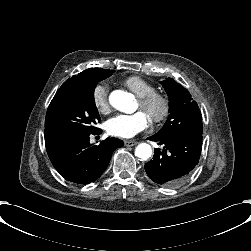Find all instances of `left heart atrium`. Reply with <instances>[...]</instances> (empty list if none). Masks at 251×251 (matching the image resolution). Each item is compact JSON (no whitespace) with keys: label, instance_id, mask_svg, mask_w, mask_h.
<instances>
[{"label":"left heart atrium","instance_id":"39dd6f15","mask_svg":"<svg viewBox=\"0 0 251 251\" xmlns=\"http://www.w3.org/2000/svg\"><path fill=\"white\" fill-rule=\"evenodd\" d=\"M150 123L149 115L139 110L130 114H118L106 123L109 134L121 138H129L144 130Z\"/></svg>","mask_w":251,"mask_h":251}]
</instances>
